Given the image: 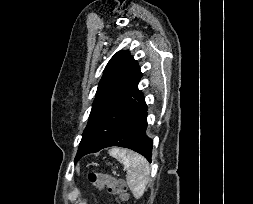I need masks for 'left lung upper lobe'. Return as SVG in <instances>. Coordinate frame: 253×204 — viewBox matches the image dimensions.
I'll return each instance as SVG.
<instances>
[{
  "instance_id": "1",
  "label": "left lung upper lobe",
  "mask_w": 253,
  "mask_h": 204,
  "mask_svg": "<svg viewBox=\"0 0 253 204\" xmlns=\"http://www.w3.org/2000/svg\"><path fill=\"white\" fill-rule=\"evenodd\" d=\"M141 77L140 67L129 51L117 52L108 62L99 82L88 124L131 95L138 88Z\"/></svg>"
}]
</instances>
